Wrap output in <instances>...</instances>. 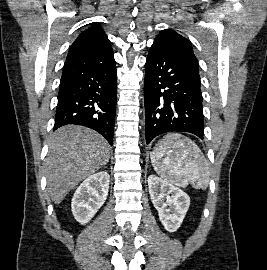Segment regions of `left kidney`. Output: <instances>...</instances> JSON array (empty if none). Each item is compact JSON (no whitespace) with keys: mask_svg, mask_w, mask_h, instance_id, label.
Returning a JSON list of instances; mask_svg holds the SVG:
<instances>
[{"mask_svg":"<svg viewBox=\"0 0 267 270\" xmlns=\"http://www.w3.org/2000/svg\"><path fill=\"white\" fill-rule=\"evenodd\" d=\"M148 188L162 225L168 232H175L189 209L190 197L180 188L154 174L148 177Z\"/></svg>","mask_w":267,"mask_h":270,"instance_id":"left-kidney-1","label":"left kidney"}]
</instances>
